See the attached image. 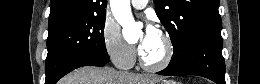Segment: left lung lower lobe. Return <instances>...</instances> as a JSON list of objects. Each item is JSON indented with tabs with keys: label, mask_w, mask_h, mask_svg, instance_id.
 I'll return each instance as SVG.
<instances>
[{
	"label": "left lung lower lobe",
	"mask_w": 260,
	"mask_h": 84,
	"mask_svg": "<svg viewBox=\"0 0 260 84\" xmlns=\"http://www.w3.org/2000/svg\"><path fill=\"white\" fill-rule=\"evenodd\" d=\"M221 34H208L194 39L178 60L158 72L160 75H198L217 84L225 83V62Z\"/></svg>",
	"instance_id": "obj_1"
}]
</instances>
